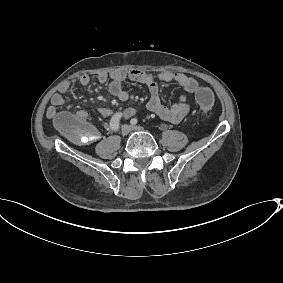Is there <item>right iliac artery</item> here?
Instances as JSON below:
<instances>
[{
	"label": "right iliac artery",
	"instance_id": "1",
	"mask_svg": "<svg viewBox=\"0 0 283 283\" xmlns=\"http://www.w3.org/2000/svg\"><path fill=\"white\" fill-rule=\"evenodd\" d=\"M121 117H122V113L119 112V113L114 114L113 117L111 118V120H110V128L113 131H118V129H119V122H120Z\"/></svg>",
	"mask_w": 283,
	"mask_h": 283
}]
</instances>
